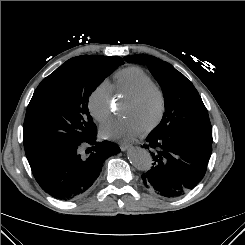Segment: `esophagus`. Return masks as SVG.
Instances as JSON below:
<instances>
[{"label": "esophagus", "instance_id": "esophagus-1", "mask_svg": "<svg viewBox=\"0 0 245 245\" xmlns=\"http://www.w3.org/2000/svg\"><path fill=\"white\" fill-rule=\"evenodd\" d=\"M131 145L127 143H121L120 144V149L121 151H126Z\"/></svg>", "mask_w": 245, "mask_h": 245}]
</instances>
